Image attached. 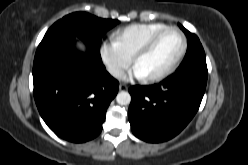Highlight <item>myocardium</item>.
<instances>
[{"mask_svg": "<svg viewBox=\"0 0 248 165\" xmlns=\"http://www.w3.org/2000/svg\"><path fill=\"white\" fill-rule=\"evenodd\" d=\"M168 31H175L180 35V37L182 39L181 50H180L179 54L177 55V57L174 59V61L166 69H164L163 71H161L158 74L146 77V79L148 81H151V82L159 81V80H162L165 77H167L169 74H171L179 66V64L181 63V61L183 60V58L186 54L187 47H188V41H187V37H186L185 33L177 26H166L165 28L152 34L145 41V43L136 51V53L133 56V63L136 65L138 59L141 58L146 53H148L151 50V48L155 45L157 40Z\"/></svg>", "mask_w": 248, "mask_h": 165, "instance_id": "f54148a6", "label": "myocardium"}]
</instances>
